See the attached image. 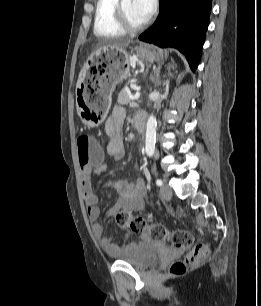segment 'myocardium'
I'll use <instances>...</instances> for the list:
<instances>
[{"instance_id":"obj_1","label":"myocardium","mask_w":261,"mask_h":306,"mask_svg":"<svg viewBox=\"0 0 261 306\" xmlns=\"http://www.w3.org/2000/svg\"><path fill=\"white\" fill-rule=\"evenodd\" d=\"M115 10H116L118 23L125 32L136 33L143 30L146 27L147 25L146 20L138 25H135L130 22L123 8V0H118Z\"/></svg>"}]
</instances>
